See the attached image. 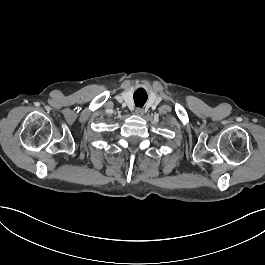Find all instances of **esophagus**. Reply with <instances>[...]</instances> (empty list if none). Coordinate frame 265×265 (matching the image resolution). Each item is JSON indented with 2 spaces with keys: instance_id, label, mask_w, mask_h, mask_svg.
Masks as SVG:
<instances>
[{
  "instance_id": "esophagus-1",
  "label": "esophagus",
  "mask_w": 265,
  "mask_h": 265,
  "mask_svg": "<svg viewBox=\"0 0 265 265\" xmlns=\"http://www.w3.org/2000/svg\"><path fill=\"white\" fill-rule=\"evenodd\" d=\"M143 113H144L143 109H139L138 108V109L135 110V114L138 115V116H142Z\"/></svg>"
}]
</instances>
